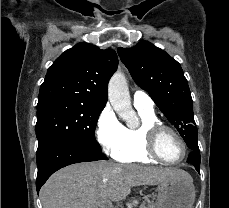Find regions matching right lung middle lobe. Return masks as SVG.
<instances>
[{"instance_id":"right-lung-middle-lobe-1","label":"right lung middle lobe","mask_w":229,"mask_h":208,"mask_svg":"<svg viewBox=\"0 0 229 208\" xmlns=\"http://www.w3.org/2000/svg\"><path fill=\"white\" fill-rule=\"evenodd\" d=\"M100 111L80 102L51 99L37 104V154L61 140H75L92 148L101 149L95 139V128Z\"/></svg>"}]
</instances>
